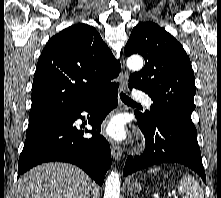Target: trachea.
Segmentation results:
<instances>
[{
    "label": "trachea",
    "instance_id": "3493384b",
    "mask_svg": "<svg viewBox=\"0 0 221 198\" xmlns=\"http://www.w3.org/2000/svg\"><path fill=\"white\" fill-rule=\"evenodd\" d=\"M120 98L123 102L125 103H135L134 101H132L130 98H128L125 94L120 93Z\"/></svg>",
    "mask_w": 221,
    "mask_h": 198
}]
</instances>
